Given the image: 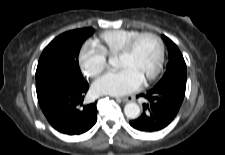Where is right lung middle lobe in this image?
I'll return each mask as SVG.
<instances>
[{"label": "right lung middle lobe", "mask_w": 225, "mask_h": 155, "mask_svg": "<svg viewBox=\"0 0 225 155\" xmlns=\"http://www.w3.org/2000/svg\"><path fill=\"white\" fill-rule=\"evenodd\" d=\"M94 30L76 29L63 33L52 40L43 50L36 70L37 97L53 86L65 82L85 81L78 64L79 50Z\"/></svg>", "instance_id": "obj_1"}]
</instances>
